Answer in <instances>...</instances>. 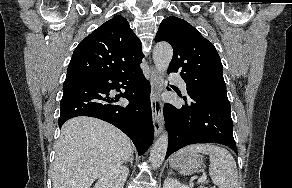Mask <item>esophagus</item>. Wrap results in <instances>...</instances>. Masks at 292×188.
I'll list each match as a JSON object with an SVG mask.
<instances>
[{
  "instance_id": "obj_1",
  "label": "esophagus",
  "mask_w": 292,
  "mask_h": 188,
  "mask_svg": "<svg viewBox=\"0 0 292 188\" xmlns=\"http://www.w3.org/2000/svg\"><path fill=\"white\" fill-rule=\"evenodd\" d=\"M150 85L154 134L155 137H157L163 129V105L160 99L161 84L159 76L156 69L153 67L150 71Z\"/></svg>"
}]
</instances>
